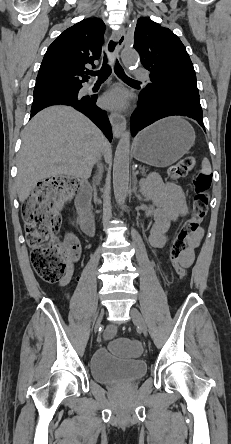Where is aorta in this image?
I'll list each match as a JSON object with an SVG mask.
<instances>
[{
    "label": "aorta",
    "mask_w": 231,
    "mask_h": 444,
    "mask_svg": "<svg viewBox=\"0 0 231 444\" xmlns=\"http://www.w3.org/2000/svg\"><path fill=\"white\" fill-rule=\"evenodd\" d=\"M122 62L126 67L138 65L139 55L133 50H124ZM130 132L125 131L118 142L113 163V189L116 201L125 202L129 185Z\"/></svg>",
    "instance_id": "obj_1"
}]
</instances>
